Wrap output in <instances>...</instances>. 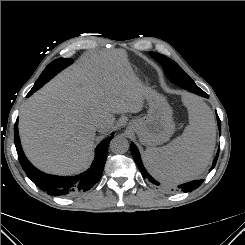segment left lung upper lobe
<instances>
[{"label": "left lung upper lobe", "instance_id": "1", "mask_svg": "<svg viewBox=\"0 0 245 245\" xmlns=\"http://www.w3.org/2000/svg\"><path fill=\"white\" fill-rule=\"evenodd\" d=\"M150 55L159 63H161L168 78L172 82L178 83V80H183L184 82H187L188 85H190L191 87L196 86L194 81L182 70V68L176 62L156 52H150Z\"/></svg>", "mask_w": 245, "mask_h": 245}]
</instances>
